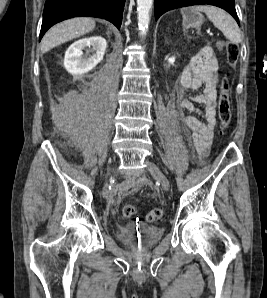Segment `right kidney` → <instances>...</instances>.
<instances>
[{"instance_id": "1", "label": "right kidney", "mask_w": 267, "mask_h": 298, "mask_svg": "<svg viewBox=\"0 0 267 298\" xmlns=\"http://www.w3.org/2000/svg\"><path fill=\"white\" fill-rule=\"evenodd\" d=\"M91 47L92 56L83 55V50ZM107 47L106 40L101 36H92L75 41L65 52L64 67L72 75H82L92 70L103 60Z\"/></svg>"}]
</instances>
